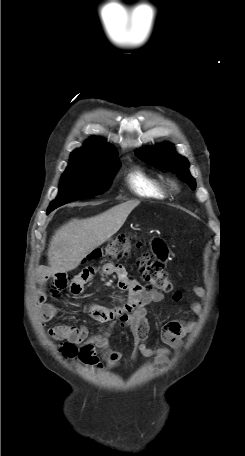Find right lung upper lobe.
Returning <instances> with one entry per match:
<instances>
[{"instance_id": "cb5924a9", "label": "right lung upper lobe", "mask_w": 245, "mask_h": 456, "mask_svg": "<svg viewBox=\"0 0 245 456\" xmlns=\"http://www.w3.org/2000/svg\"><path fill=\"white\" fill-rule=\"evenodd\" d=\"M116 156V151L109 144L92 138L82 149L72 152L69 164L101 163L116 159Z\"/></svg>"}]
</instances>
